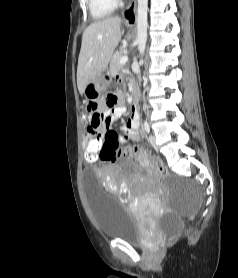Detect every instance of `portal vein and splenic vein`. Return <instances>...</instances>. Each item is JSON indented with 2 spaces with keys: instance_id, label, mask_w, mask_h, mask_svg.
Masks as SVG:
<instances>
[{
  "instance_id": "obj_1",
  "label": "portal vein and splenic vein",
  "mask_w": 238,
  "mask_h": 278,
  "mask_svg": "<svg viewBox=\"0 0 238 278\" xmlns=\"http://www.w3.org/2000/svg\"><path fill=\"white\" fill-rule=\"evenodd\" d=\"M127 61H128V56L125 55V56H123V57L120 59V64H121V65H124Z\"/></svg>"
}]
</instances>
